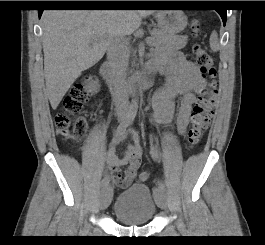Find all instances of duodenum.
<instances>
[{"mask_svg": "<svg viewBox=\"0 0 265 245\" xmlns=\"http://www.w3.org/2000/svg\"><path fill=\"white\" fill-rule=\"evenodd\" d=\"M114 66L111 62H104L100 67V73L104 78L109 91L113 94L125 95V89L123 88L122 82L114 75ZM155 70L149 64H145L141 68V74L132 78L127 86V91L131 92L137 89L147 87L150 82Z\"/></svg>", "mask_w": 265, "mask_h": 245, "instance_id": "1", "label": "duodenum"}]
</instances>
